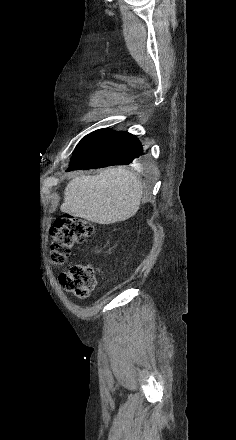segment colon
Masks as SVG:
<instances>
[{
	"label": "colon",
	"mask_w": 236,
	"mask_h": 440,
	"mask_svg": "<svg viewBox=\"0 0 236 440\" xmlns=\"http://www.w3.org/2000/svg\"><path fill=\"white\" fill-rule=\"evenodd\" d=\"M94 232L90 222L73 216L55 220L51 229V262L62 265L68 260L73 248L84 243ZM61 286L79 298H86L95 288L96 278L89 264L73 263L59 276Z\"/></svg>",
	"instance_id": "5ec220e1"
}]
</instances>
